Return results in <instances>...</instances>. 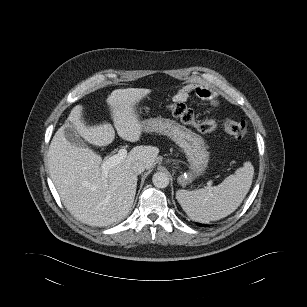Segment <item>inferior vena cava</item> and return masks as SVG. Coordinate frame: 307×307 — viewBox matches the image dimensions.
<instances>
[{
  "label": "inferior vena cava",
  "instance_id": "602c4592",
  "mask_svg": "<svg viewBox=\"0 0 307 307\" xmlns=\"http://www.w3.org/2000/svg\"><path fill=\"white\" fill-rule=\"evenodd\" d=\"M145 164L142 162H136L132 165L131 169L133 170L134 173L141 174L145 170Z\"/></svg>",
  "mask_w": 307,
  "mask_h": 307
}]
</instances>
